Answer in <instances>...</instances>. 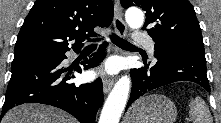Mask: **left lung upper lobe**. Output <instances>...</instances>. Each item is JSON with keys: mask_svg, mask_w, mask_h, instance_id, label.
Returning a JSON list of instances; mask_svg holds the SVG:
<instances>
[{"mask_svg": "<svg viewBox=\"0 0 221 123\" xmlns=\"http://www.w3.org/2000/svg\"><path fill=\"white\" fill-rule=\"evenodd\" d=\"M124 8L139 6L146 12L143 30L153 38L155 50L205 54L199 22L188 0H120Z\"/></svg>", "mask_w": 221, "mask_h": 123, "instance_id": "left-lung-upper-lobe-1", "label": "left lung upper lobe"}]
</instances>
